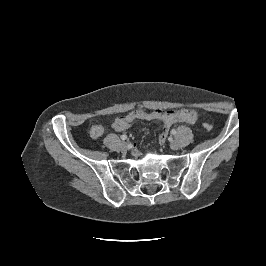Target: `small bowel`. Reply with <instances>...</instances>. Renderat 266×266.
<instances>
[{
  "label": "small bowel",
  "instance_id": "1",
  "mask_svg": "<svg viewBox=\"0 0 266 266\" xmlns=\"http://www.w3.org/2000/svg\"><path fill=\"white\" fill-rule=\"evenodd\" d=\"M197 113L191 109H177L168 111L145 112L135 110L126 115L117 117L112 123L116 131H124L137 120L142 121H160L163 125L162 132L159 135V142L164 143L167 138L170 127L176 123L194 124L197 121ZM104 133V127L101 124H94L90 129V136L94 139L100 138Z\"/></svg>",
  "mask_w": 266,
  "mask_h": 266
}]
</instances>
